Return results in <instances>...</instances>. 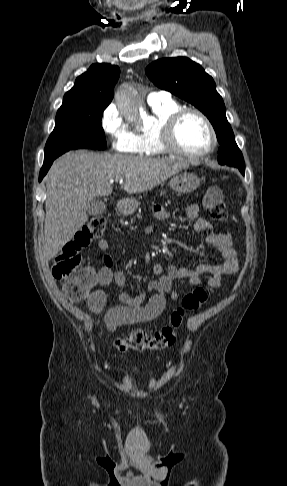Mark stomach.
<instances>
[{
	"mask_svg": "<svg viewBox=\"0 0 287 486\" xmlns=\"http://www.w3.org/2000/svg\"><path fill=\"white\" fill-rule=\"evenodd\" d=\"M200 179L196 174L184 172L171 178L169 185L178 194L191 193L200 186ZM135 198H124L118 204L121 213L127 215L133 213L139 206Z\"/></svg>",
	"mask_w": 287,
	"mask_h": 486,
	"instance_id": "1",
	"label": "stomach"
}]
</instances>
